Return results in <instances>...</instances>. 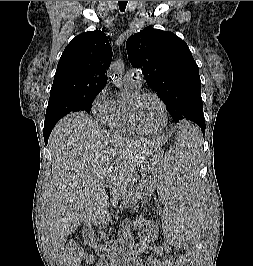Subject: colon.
Listing matches in <instances>:
<instances>
[{"instance_id":"colon-1","label":"colon","mask_w":253,"mask_h":266,"mask_svg":"<svg viewBox=\"0 0 253 266\" xmlns=\"http://www.w3.org/2000/svg\"><path fill=\"white\" fill-rule=\"evenodd\" d=\"M204 244L200 243L199 248H190L178 261V266H197L204 251ZM83 260H88L83 250L75 245L66 246L59 259V266H80Z\"/></svg>"}]
</instances>
